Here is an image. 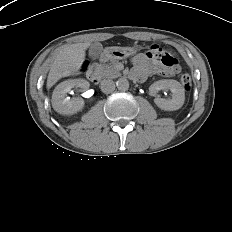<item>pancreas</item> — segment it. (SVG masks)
<instances>
[{
    "instance_id": "1",
    "label": "pancreas",
    "mask_w": 232,
    "mask_h": 232,
    "mask_svg": "<svg viewBox=\"0 0 232 232\" xmlns=\"http://www.w3.org/2000/svg\"><path fill=\"white\" fill-rule=\"evenodd\" d=\"M117 62H111L109 64L97 65L99 74L104 78H117L121 75L120 71L116 68Z\"/></svg>"
}]
</instances>
